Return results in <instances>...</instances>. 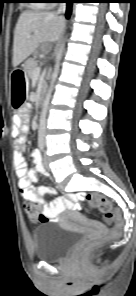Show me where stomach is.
<instances>
[{"instance_id":"stomach-1","label":"stomach","mask_w":136,"mask_h":296,"mask_svg":"<svg viewBox=\"0 0 136 296\" xmlns=\"http://www.w3.org/2000/svg\"><path fill=\"white\" fill-rule=\"evenodd\" d=\"M25 74L26 69H12V84H26ZM25 90H28V85H11L12 108H23L24 101H29Z\"/></svg>"}]
</instances>
